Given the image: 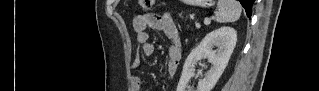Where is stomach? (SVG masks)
<instances>
[{
	"instance_id": "stomach-1",
	"label": "stomach",
	"mask_w": 319,
	"mask_h": 91,
	"mask_svg": "<svg viewBox=\"0 0 319 91\" xmlns=\"http://www.w3.org/2000/svg\"><path fill=\"white\" fill-rule=\"evenodd\" d=\"M212 2L213 1H211V0L210 1H206V5H212Z\"/></svg>"
}]
</instances>
